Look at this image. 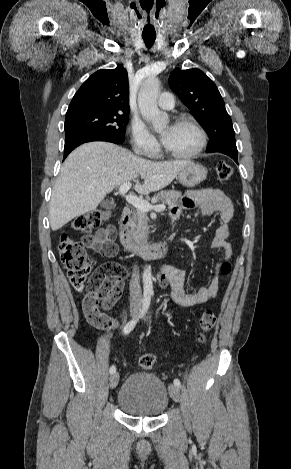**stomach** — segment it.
Listing matches in <instances>:
<instances>
[{
	"label": "stomach",
	"mask_w": 291,
	"mask_h": 469,
	"mask_svg": "<svg viewBox=\"0 0 291 469\" xmlns=\"http://www.w3.org/2000/svg\"><path fill=\"white\" fill-rule=\"evenodd\" d=\"M207 169L201 164L191 162L178 174L179 182L186 187H194L205 180Z\"/></svg>",
	"instance_id": "obj_1"
}]
</instances>
